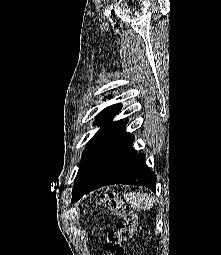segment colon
Segmentation results:
<instances>
[{
  "instance_id": "5ec220e1",
  "label": "colon",
  "mask_w": 221,
  "mask_h": 255,
  "mask_svg": "<svg viewBox=\"0 0 221 255\" xmlns=\"http://www.w3.org/2000/svg\"><path fill=\"white\" fill-rule=\"evenodd\" d=\"M99 201L119 219L115 229L108 233L104 246L107 255H127L125 244L131 239L136 224L134 212L126 202L111 193L101 194Z\"/></svg>"
}]
</instances>
